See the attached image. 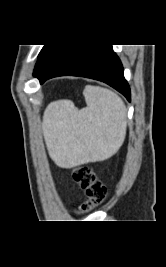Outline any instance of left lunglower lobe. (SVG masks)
<instances>
[{
  "label": "left lung lower lobe",
  "mask_w": 166,
  "mask_h": 267,
  "mask_svg": "<svg viewBox=\"0 0 166 267\" xmlns=\"http://www.w3.org/2000/svg\"><path fill=\"white\" fill-rule=\"evenodd\" d=\"M73 75L99 80L112 86L130 101V88L123 66L112 45H56L34 74L43 84L56 76Z\"/></svg>",
  "instance_id": "left-lung-lower-lobe-1"
}]
</instances>
